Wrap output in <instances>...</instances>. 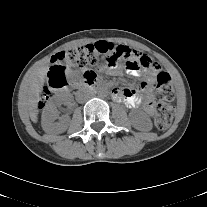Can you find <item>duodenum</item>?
<instances>
[{"mask_svg": "<svg viewBox=\"0 0 207 207\" xmlns=\"http://www.w3.org/2000/svg\"><path fill=\"white\" fill-rule=\"evenodd\" d=\"M84 83L88 85L91 91H96L100 85L96 82L94 75L87 74L84 78Z\"/></svg>", "mask_w": 207, "mask_h": 207, "instance_id": "410a0bca", "label": "duodenum"}]
</instances>
